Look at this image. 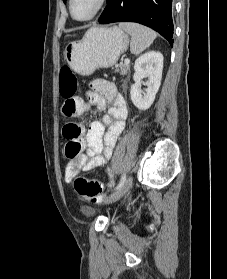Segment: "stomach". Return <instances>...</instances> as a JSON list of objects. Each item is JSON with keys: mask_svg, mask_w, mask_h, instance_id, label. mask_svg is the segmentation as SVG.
I'll list each match as a JSON object with an SVG mask.
<instances>
[{"mask_svg": "<svg viewBox=\"0 0 227 279\" xmlns=\"http://www.w3.org/2000/svg\"><path fill=\"white\" fill-rule=\"evenodd\" d=\"M128 45V35L120 28L92 27L81 40L66 45L64 58L76 73L87 76L98 68L112 67Z\"/></svg>", "mask_w": 227, "mask_h": 279, "instance_id": "obj_1", "label": "stomach"}]
</instances>
